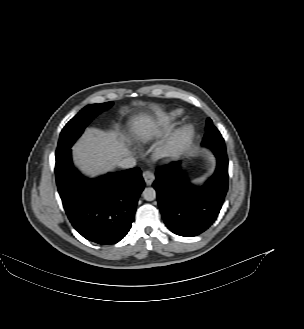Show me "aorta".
<instances>
[{
	"label": "aorta",
	"mask_w": 304,
	"mask_h": 329,
	"mask_svg": "<svg viewBox=\"0 0 304 329\" xmlns=\"http://www.w3.org/2000/svg\"><path fill=\"white\" fill-rule=\"evenodd\" d=\"M142 196L146 201H153L156 198V191L152 187L145 188L142 192Z\"/></svg>",
	"instance_id": "obj_1"
}]
</instances>
